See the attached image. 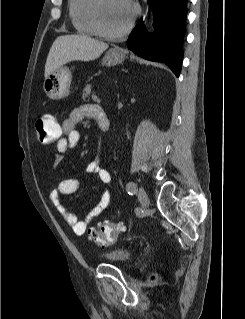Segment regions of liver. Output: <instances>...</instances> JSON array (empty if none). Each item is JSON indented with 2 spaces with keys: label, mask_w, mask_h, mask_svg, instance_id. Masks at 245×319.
Listing matches in <instances>:
<instances>
[{
  "label": "liver",
  "mask_w": 245,
  "mask_h": 319,
  "mask_svg": "<svg viewBox=\"0 0 245 319\" xmlns=\"http://www.w3.org/2000/svg\"><path fill=\"white\" fill-rule=\"evenodd\" d=\"M108 44L86 35H62L56 38L45 64V78L70 61H91L98 58Z\"/></svg>",
  "instance_id": "6515ba94"
}]
</instances>
